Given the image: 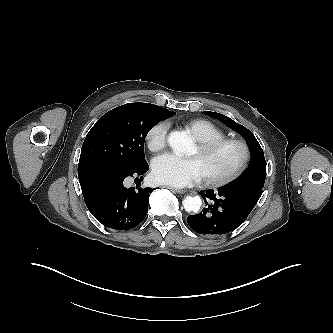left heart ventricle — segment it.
<instances>
[{
    "instance_id": "obj_1",
    "label": "left heart ventricle",
    "mask_w": 333,
    "mask_h": 333,
    "mask_svg": "<svg viewBox=\"0 0 333 333\" xmlns=\"http://www.w3.org/2000/svg\"><path fill=\"white\" fill-rule=\"evenodd\" d=\"M192 156L198 161L203 177H219L235 166L239 158V152L234 147H224L208 155H201L198 148H196Z\"/></svg>"
}]
</instances>
